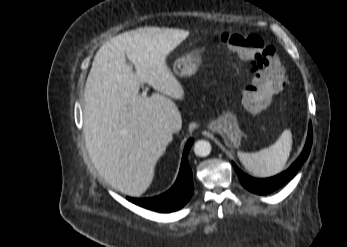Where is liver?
I'll return each mask as SVG.
<instances>
[{
    "label": "liver",
    "mask_w": 347,
    "mask_h": 247,
    "mask_svg": "<svg viewBox=\"0 0 347 247\" xmlns=\"http://www.w3.org/2000/svg\"><path fill=\"white\" fill-rule=\"evenodd\" d=\"M188 35L179 29L140 28L111 38L94 57L84 90L86 148L99 174L124 194L140 196L148 189L158 159L182 128L170 98L182 99L184 89L166 57ZM142 83L163 95L143 98Z\"/></svg>",
    "instance_id": "1"
}]
</instances>
